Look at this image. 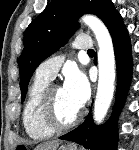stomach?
<instances>
[{
    "label": "stomach",
    "mask_w": 139,
    "mask_h": 150,
    "mask_svg": "<svg viewBox=\"0 0 139 150\" xmlns=\"http://www.w3.org/2000/svg\"><path fill=\"white\" fill-rule=\"evenodd\" d=\"M59 150H76L75 148H73V147H71V146H61L60 148H59Z\"/></svg>",
    "instance_id": "obj_1"
}]
</instances>
